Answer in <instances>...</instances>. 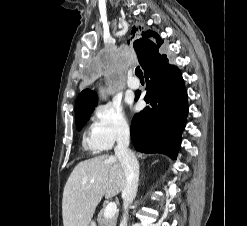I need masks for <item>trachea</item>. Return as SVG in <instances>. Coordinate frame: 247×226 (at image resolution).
<instances>
[{
	"instance_id": "1",
	"label": "trachea",
	"mask_w": 247,
	"mask_h": 226,
	"mask_svg": "<svg viewBox=\"0 0 247 226\" xmlns=\"http://www.w3.org/2000/svg\"><path fill=\"white\" fill-rule=\"evenodd\" d=\"M135 74H136L139 78L143 77V73H142V71H141V69H140L139 67H137V68L135 69Z\"/></svg>"
}]
</instances>
